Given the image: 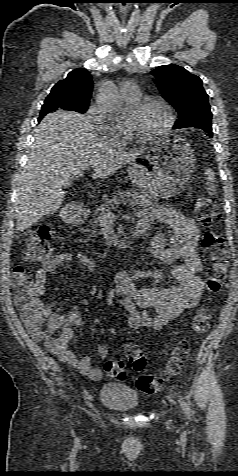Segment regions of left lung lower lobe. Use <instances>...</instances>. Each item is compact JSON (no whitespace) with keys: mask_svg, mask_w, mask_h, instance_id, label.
<instances>
[{"mask_svg":"<svg viewBox=\"0 0 238 476\" xmlns=\"http://www.w3.org/2000/svg\"><path fill=\"white\" fill-rule=\"evenodd\" d=\"M200 129L206 131V132L209 134V137H210V138L213 136V133H212V129H211V128L202 127V128H200Z\"/></svg>","mask_w":238,"mask_h":476,"instance_id":"obj_1","label":"left lung lower lobe"}]
</instances>
